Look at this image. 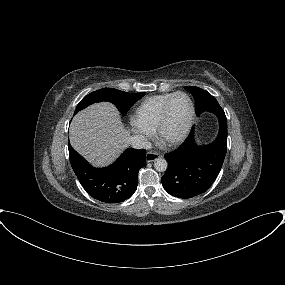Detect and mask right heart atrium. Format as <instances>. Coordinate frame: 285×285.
<instances>
[{"mask_svg": "<svg viewBox=\"0 0 285 285\" xmlns=\"http://www.w3.org/2000/svg\"><path fill=\"white\" fill-rule=\"evenodd\" d=\"M131 127H132V130L140 135L141 137H144V138H147L150 136L151 134V130L145 128L144 126L138 124L137 122H135L134 120L131 122Z\"/></svg>", "mask_w": 285, "mask_h": 285, "instance_id": "right-heart-atrium-1", "label": "right heart atrium"}]
</instances>
